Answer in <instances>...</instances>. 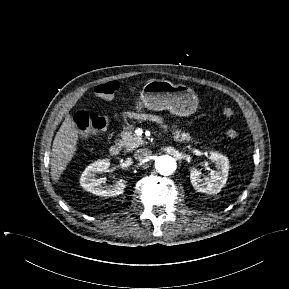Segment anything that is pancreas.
<instances>
[{
	"label": "pancreas",
	"instance_id": "obj_1",
	"mask_svg": "<svg viewBox=\"0 0 289 289\" xmlns=\"http://www.w3.org/2000/svg\"><path fill=\"white\" fill-rule=\"evenodd\" d=\"M132 126H128L125 130L121 133V140L120 144L123 146L127 151H132L135 148L144 144V141L141 137L136 136L132 131ZM173 138L175 141L178 142H189L192 140L190 134L182 133L181 130L173 129L172 131Z\"/></svg>",
	"mask_w": 289,
	"mask_h": 289
}]
</instances>
